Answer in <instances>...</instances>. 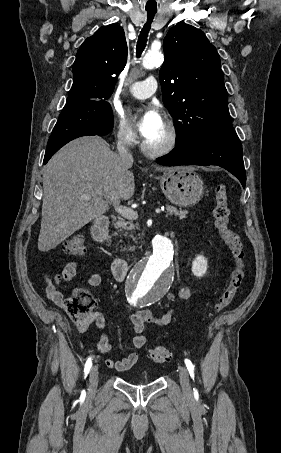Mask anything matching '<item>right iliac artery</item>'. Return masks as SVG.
Segmentation results:
<instances>
[{
	"label": "right iliac artery",
	"mask_w": 281,
	"mask_h": 453,
	"mask_svg": "<svg viewBox=\"0 0 281 453\" xmlns=\"http://www.w3.org/2000/svg\"><path fill=\"white\" fill-rule=\"evenodd\" d=\"M91 367H92V361H91V357H90V358H88V360L86 361V364H85V368H84L85 377H87V374L90 372Z\"/></svg>",
	"instance_id": "1"
}]
</instances>
